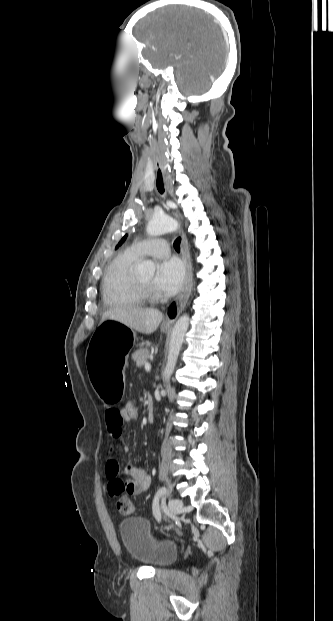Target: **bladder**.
<instances>
[{"instance_id": "31cf9c89", "label": "bladder", "mask_w": 333, "mask_h": 621, "mask_svg": "<svg viewBox=\"0 0 333 621\" xmlns=\"http://www.w3.org/2000/svg\"><path fill=\"white\" fill-rule=\"evenodd\" d=\"M119 534L123 548L135 561L159 568L168 566L177 557L176 545L159 540L150 522L144 518L128 517L122 520Z\"/></svg>"}]
</instances>
